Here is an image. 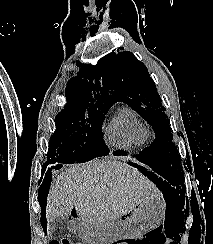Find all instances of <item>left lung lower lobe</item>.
Returning a JSON list of instances; mask_svg holds the SVG:
<instances>
[{
	"label": "left lung lower lobe",
	"mask_w": 213,
	"mask_h": 244,
	"mask_svg": "<svg viewBox=\"0 0 213 244\" xmlns=\"http://www.w3.org/2000/svg\"><path fill=\"white\" fill-rule=\"evenodd\" d=\"M157 173H159L160 175H161V172H160V170L158 169V168H156L155 166H153V165H150ZM142 169H145L144 167H141ZM153 175H154V177H156V179L159 181V182H161V183H164V184H168L169 185V183L168 182H166V180H163V178H161V177H158L157 175H155L154 173H152Z\"/></svg>",
	"instance_id": "obj_1"
}]
</instances>
